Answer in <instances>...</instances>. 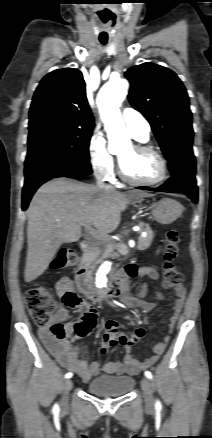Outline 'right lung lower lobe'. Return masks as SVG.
<instances>
[{
	"mask_svg": "<svg viewBox=\"0 0 212 438\" xmlns=\"http://www.w3.org/2000/svg\"><path fill=\"white\" fill-rule=\"evenodd\" d=\"M91 173L89 162L43 158L26 159L22 210L27 209L35 191L48 180L57 177H83Z\"/></svg>",
	"mask_w": 212,
	"mask_h": 438,
	"instance_id": "1",
	"label": "right lung lower lobe"
}]
</instances>
